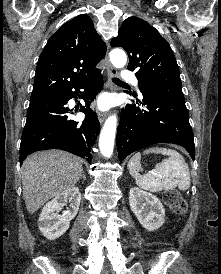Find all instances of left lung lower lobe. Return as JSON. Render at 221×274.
Here are the masks:
<instances>
[{
	"instance_id": "left-lung-lower-lobe-1",
	"label": "left lung lower lobe",
	"mask_w": 221,
	"mask_h": 274,
	"mask_svg": "<svg viewBox=\"0 0 221 274\" xmlns=\"http://www.w3.org/2000/svg\"><path fill=\"white\" fill-rule=\"evenodd\" d=\"M136 103L144 107L128 104L121 111L117 131L120 161L132 152L156 143L178 144L186 148L192 159L195 158V144L185 98L143 95V101L136 99Z\"/></svg>"
}]
</instances>
